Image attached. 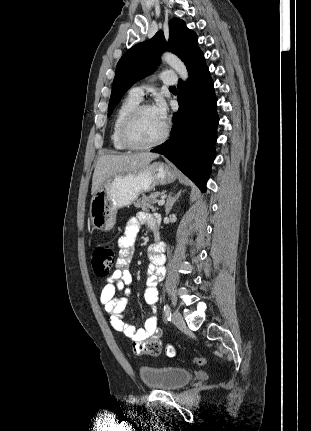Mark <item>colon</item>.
<instances>
[{
  "mask_svg": "<svg viewBox=\"0 0 311 431\" xmlns=\"http://www.w3.org/2000/svg\"><path fill=\"white\" fill-rule=\"evenodd\" d=\"M115 263V254L112 248L107 244H97L91 251V264L94 273L99 277L107 276ZM134 350L138 353L149 354L152 356L158 355L162 350V345L159 341L151 340L148 342L134 344ZM168 352L172 355L174 350L168 348ZM196 365H204L206 359L204 357H196L193 360Z\"/></svg>",
  "mask_w": 311,
  "mask_h": 431,
  "instance_id": "1",
  "label": "colon"
}]
</instances>
